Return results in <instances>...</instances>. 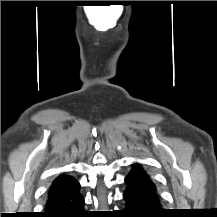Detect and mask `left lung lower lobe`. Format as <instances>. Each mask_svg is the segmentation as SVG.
<instances>
[{
	"label": "left lung lower lobe",
	"instance_id": "0a47b994",
	"mask_svg": "<svg viewBox=\"0 0 217 217\" xmlns=\"http://www.w3.org/2000/svg\"><path fill=\"white\" fill-rule=\"evenodd\" d=\"M132 169L126 177L124 192L127 217H166L167 210L162 208L156 186L150 178H146Z\"/></svg>",
	"mask_w": 217,
	"mask_h": 217
}]
</instances>
